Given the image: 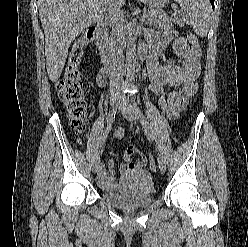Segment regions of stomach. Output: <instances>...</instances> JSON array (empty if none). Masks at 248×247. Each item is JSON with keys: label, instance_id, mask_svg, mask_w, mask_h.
I'll return each mask as SVG.
<instances>
[{"label": "stomach", "instance_id": "stomach-1", "mask_svg": "<svg viewBox=\"0 0 248 247\" xmlns=\"http://www.w3.org/2000/svg\"><path fill=\"white\" fill-rule=\"evenodd\" d=\"M150 8H159L167 4L168 0H141Z\"/></svg>", "mask_w": 248, "mask_h": 247}]
</instances>
